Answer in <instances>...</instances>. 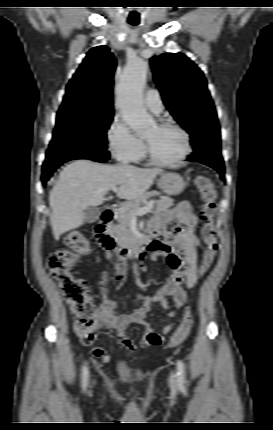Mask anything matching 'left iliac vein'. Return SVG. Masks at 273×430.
Segmentation results:
<instances>
[{"mask_svg": "<svg viewBox=\"0 0 273 430\" xmlns=\"http://www.w3.org/2000/svg\"><path fill=\"white\" fill-rule=\"evenodd\" d=\"M169 384L171 387L175 388V386H176V375L174 373L170 374Z\"/></svg>", "mask_w": 273, "mask_h": 430, "instance_id": "1", "label": "left iliac vein"}]
</instances>
